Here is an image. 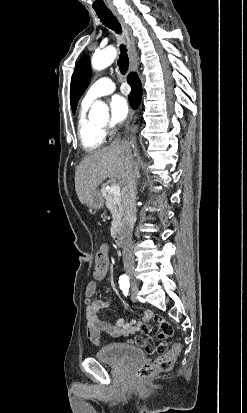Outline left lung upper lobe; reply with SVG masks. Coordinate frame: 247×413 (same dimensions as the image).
<instances>
[{"label": "left lung upper lobe", "mask_w": 247, "mask_h": 413, "mask_svg": "<svg viewBox=\"0 0 247 413\" xmlns=\"http://www.w3.org/2000/svg\"><path fill=\"white\" fill-rule=\"evenodd\" d=\"M90 77V60L88 56H84L78 61L71 79L70 103L73 113H75L78 101L90 82Z\"/></svg>", "instance_id": "obj_1"}]
</instances>
